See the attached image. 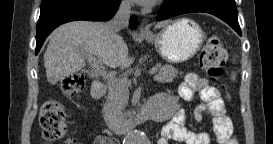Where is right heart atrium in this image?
Listing matches in <instances>:
<instances>
[{
	"instance_id": "right-heart-atrium-1",
	"label": "right heart atrium",
	"mask_w": 273,
	"mask_h": 144,
	"mask_svg": "<svg viewBox=\"0 0 273 144\" xmlns=\"http://www.w3.org/2000/svg\"><path fill=\"white\" fill-rule=\"evenodd\" d=\"M122 4H123V5H125V4H126V2H123Z\"/></svg>"
}]
</instances>
